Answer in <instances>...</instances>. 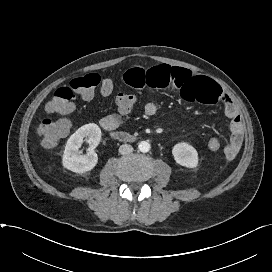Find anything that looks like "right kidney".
<instances>
[{"mask_svg":"<svg viewBox=\"0 0 272 272\" xmlns=\"http://www.w3.org/2000/svg\"><path fill=\"white\" fill-rule=\"evenodd\" d=\"M86 139L89 144L88 152L82 155L79 151L81 144ZM101 140V129L97 124L89 123L80 127L70 136L66 143L62 163L63 166L75 173L91 171L98 162L94 149Z\"/></svg>","mask_w":272,"mask_h":272,"instance_id":"obj_1","label":"right kidney"}]
</instances>
